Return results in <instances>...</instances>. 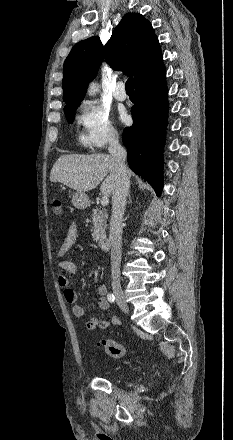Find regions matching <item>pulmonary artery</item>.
I'll use <instances>...</instances> for the list:
<instances>
[{
	"label": "pulmonary artery",
	"mask_w": 233,
	"mask_h": 440,
	"mask_svg": "<svg viewBox=\"0 0 233 440\" xmlns=\"http://www.w3.org/2000/svg\"><path fill=\"white\" fill-rule=\"evenodd\" d=\"M113 96L115 97V99H117L118 101H124L127 98V94L124 91V85L122 82H118L114 88L113 91Z\"/></svg>",
	"instance_id": "pulmonary-artery-1"
}]
</instances>
